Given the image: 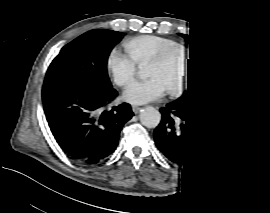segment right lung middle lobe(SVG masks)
<instances>
[{
	"label": "right lung middle lobe",
	"instance_id": "right-lung-middle-lobe-1",
	"mask_svg": "<svg viewBox=\"0 0 270 213\" xmlns=\"http://www.w3.org/2000/svg\"><path fill=\"white\" fill-rule=\"evenodd\" d=\"M122 37L120 32L103 29L84 33L61 49L50 64L45 80L82 79L111 88L107 60Z\"/></svg>",
	"mask_w": 270,
	"mask_h": 213
}]
</instances>
